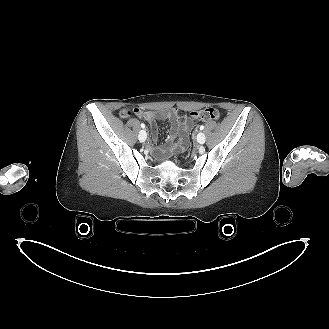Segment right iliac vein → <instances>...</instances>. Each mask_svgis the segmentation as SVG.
Wrapping results in <instances>:
<instances>
[{
    "label": "right iliac vein",
    "instance_id": "right-iliac-vein-1",
    "mask_svg": "<svg viewBox=\"0 0 329 329\" xmlns=\"http://www.w3.org/2000/svg\"><path fill=\"white\" fill-rule=\"evenodd\" d=\"M147 138V133L145 130H141L138 134V139L140 142H144Z\"/></svg>",
    "mask_w": 329,
    "mask_h": 329
}]
</instances>
